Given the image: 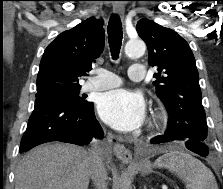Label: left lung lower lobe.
I'll list each match as a JSON object with an SVG mask.
<instances>
[{
    "label": "left lung lower lobe",
    "mask_w": 223,
    "mask_h": 189,
    "mask_svg": "<svg viewBox=\"0 0 223 189\" xmlns=\"http://www.w3.org/2000/svg\"><path fill=\"white\" fill-rule=\"evenodd\" d=\"M171 141H179L176 138L173 137H168L166 135H161V136H157L153 139H151L150 144L152 145H162L163 143L166 142H171ZM186 147L191 150L192 152L200 155V156H207L209 153V149L207 146V143H202L196 140H186L184 141Z\"/></svg>",
    "instance_id": "obj_1"
}]
</instances>
